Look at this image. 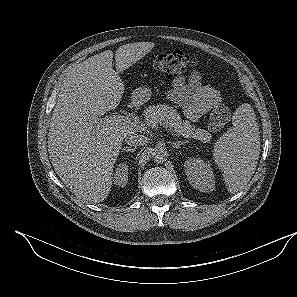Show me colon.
Listing matches in <instances>:
<instances>
[{"instance_id":"colon-1","label":"colon","mask_w":297,"mask_h":297,"mask_svg":"<svg viewBox=\"0 0 297 297\" xmlns=\"http://www.w3.org/2000/svg\"><path fill=\"white\" fill-rule=\"evenodd\" d=\"M198 66L195 57L189 56L181 51H171L161 54L153 61V68L168 76H177L192 73ZM231 112L228 106H216L209 117L208 127L211 131L222 130L229 122Z\"/></svg>"}]
</instances>
